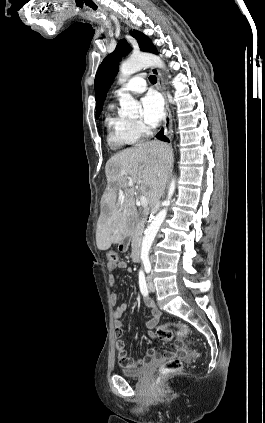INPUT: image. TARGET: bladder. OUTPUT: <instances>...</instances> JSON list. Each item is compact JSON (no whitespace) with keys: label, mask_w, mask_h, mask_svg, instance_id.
Segmentation results:
<instances>
[{"label":"bladder","mask_w":265,"mask_h":423,"mask_svg":"<svg viewBox=\"0 0 265 423\" xmlns=\"http://www.w3.org/2000/svg\"><path fill=\"white\" fill-rule=\"evenodd\" d=\"M148 367H149L148 365H143L138 368H122L121 374L129 378H138L146 372Z\"/></svg>","instance_id":"1"}]
</instances>
